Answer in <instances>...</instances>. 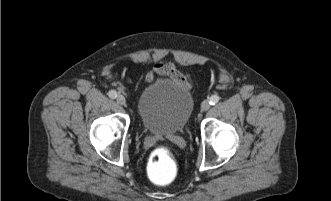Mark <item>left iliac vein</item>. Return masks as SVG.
Returning a JSON list of instances; mask_svg holds the SVG:
<instances>
[{
  "label": "left iliac vein",
  "mask_w": 331,
  "mask_h": 201,
  "mask_svg": "<svg viewBox=\"0 0 331 201\" xmlns=\"http://www.w3.org/2000/svg\"><path fill=\"white\" fill-rule=\"evenodd\" d=\"M210 107H211L210 103L207 100L203 101L202 104H201V110L202 111H207V110H209Z\"/></svg>",
  "instance_id": "obj_1"
}]
</instances>
